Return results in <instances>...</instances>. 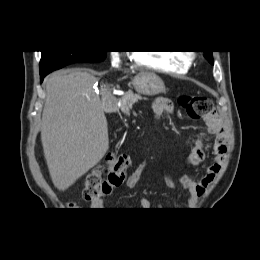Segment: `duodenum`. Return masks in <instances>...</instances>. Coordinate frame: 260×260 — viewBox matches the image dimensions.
<instances>
[{
	"instance_id": "410a0bca",
	"label": "duodenum",
	"mask_w": 260,
	"mask_h": 260,
	"mask_svg": "<svg viewBox=\"0 0 260 260\" xmlns=\"http://www.w3.org/2000/svg\"><path fill=\"white\" fill-rule=\"evenodd\" d=\"M106 108L109 112H114L116 110V105L112 102H107Z\"/></svg>"
}]
</instances>
